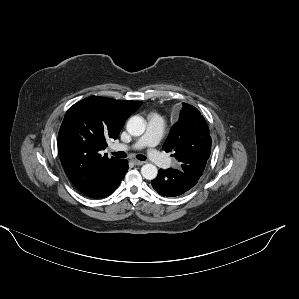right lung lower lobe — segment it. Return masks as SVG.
Instances as JSON below:
<instances>
[{
  "instance_id": "98d812e1",
  "label": "right lung lower lobe",
  "mask_w": 299,
  "mask_h": 299,
  "mask_svg": "<svg viewBox=\"0 0 299 299\" xmlns=\"http://www.w3.org/2000/svg\"><path fill=\"white\" fill-rule=\"evenodd\" d=\"M128 170L127 160H121L114 168L110 174L107 183L99 191L90 194L88 196L94 198H101L111 194L120 184L121 180L125 176Z\"/></svg>"
}]
</instances>
